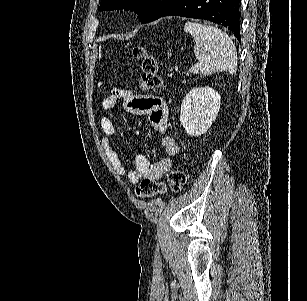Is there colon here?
I'll return each mask as SVG.
<instances>
[{
    "label": "colon",
    "mask_w": 307,
    "mask_h": 301,
    "mask_svg": "<svg viewBox=\"0 0 307 301\" xmlns=\"http://www.w3.org/2000/svg\"><path fill=\"white\" fill-rule=\"evenodd\" d=\"M135 57L142 60V74L139 83L144 90H154L162 85V77L159 73L156 59L143 47H135L132 50ZM187 182L186 173L181 169H174L167 176V184L149 178L142 180L135 189L140 198H149L165 194L168 189L174 193L181 192Z\"/></svg>",
    "instance_id": "1"
}]
</instances>
